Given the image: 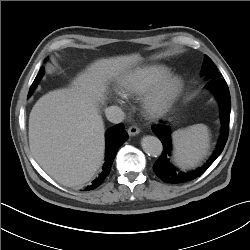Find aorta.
<instances>
[{"instance_id": "1", "label": "aorta", "mask_w": 250, "mask_h": 250, "mask_svg": "<svg viewBox=\"0 0 250 250\" xmlns=\"http://www.w3.org/2000/svg\"><path fill=\"white\" fill-rule=\"evenodd\" d=\"M141 146L145 153L150 156L158 157L163 151V146L159 138L155 136H145L142 138Z\"/></svg>"}]
</instances>
